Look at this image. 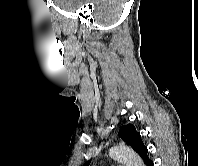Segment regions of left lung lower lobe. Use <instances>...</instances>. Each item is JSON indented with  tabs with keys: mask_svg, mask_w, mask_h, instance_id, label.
Here are the masks:
<instances>
[{
	"mask_svg": "<svg viewBox=\"0 0 198 166\" xmlns=\"http://www.w3.org/2000/svg\"><path fill=\"white\" fill-rule=\"evenodd\" d=\"M146 166H153V161H151L149 158L147 159V161L145 162Z\"/></svg>",
	"mask_w": 198,
	"mask_h": 166,
	"instance_id": "0a47b994",
	"label": "left lung lower lobe"
}]
</instances>
